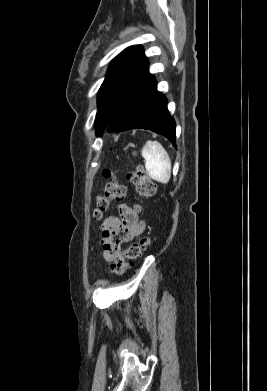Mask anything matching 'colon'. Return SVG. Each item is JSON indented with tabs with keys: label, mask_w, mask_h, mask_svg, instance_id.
I'll list each match as a JSON object with an SVG mask.
<instances>
[{
	"label": "colon",
	"mask_w": 267,
	"mask_h": 391,
	"mask_svg": "<svg viewBox=\"0 0 267 391\" xmlns=\"http://www.w3.org/2000/svg\"><path fill=\"white\" fill-rule=\"evenodd\" d=\"M102 174L108 181L103 193L96 198L93 210V215L96 219H100L103 216L113 200H122L126 195V188L118 183L115 171L105 169ZM128 178L135 185L136 191L140 196L151 197L154 195L156 186L142 166H137L134 171L129 173ZM148 244L149 239L143 237L137 242L132 243L125 250L115 254L110 261L109 271L116 275L123 274L130 262L138 258Z\"/></svg>",
	"instance_id": "colon-1"
}]
</instances>
